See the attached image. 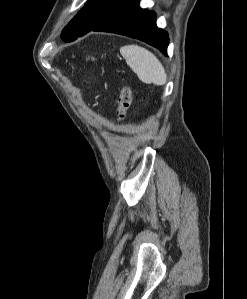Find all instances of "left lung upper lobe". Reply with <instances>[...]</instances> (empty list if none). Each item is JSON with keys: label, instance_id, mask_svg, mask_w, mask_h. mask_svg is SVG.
Masks as SVG:
<instances>
[{"label": "left lung upper lobe", "instance_id": "obj_1", "mask_svg": "<svg viewBox=\"0 0 247 299\" xmlns=\"http://www.w3.org/2000/svg\"><path fill=\"white\" fill-rule=\"evenodd\" d=\"M127 0H89L62 31V39L71 42L89 32Z\"/></svg>", "mask_w": 247, "mask_h": 299}]
</instances>
